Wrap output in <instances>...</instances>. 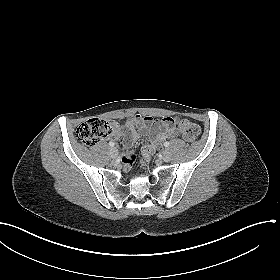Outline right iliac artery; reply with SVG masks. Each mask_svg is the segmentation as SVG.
<instances>
[{"label": "right iliac artery", "mask_w": 280, "mask_h": 280, "mask_svg": "<svg viewBox=\"0 0 280 280\" xmlns=\"http://www.w3.org/2000/svg\"><path fill=\"white\" fill-rule=\"evenodd\" d=\"M109 145L111 146V147H113L114 145H115V143L114 142H109Z\"/></svg>", "instance_id": "right-iliac-artery-1"}]
</instances>
